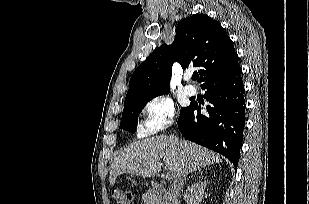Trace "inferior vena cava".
<instances>
[{"mask_svg": "<svg viewBox=\"0 0 309 204\" xmlns=\"http://www.w3.org/2000/svg\"><path fill=\"white\" fill-rule=\"evenodd\" d=\"M170 138H174L175 141H177L176 137L170 136ZM188 173V169L184 166H182L175 179L174 182L169 190V194L167 196L166 204H176L177 199L180 195L181 189L184 185V181L186 179V175Z\"/></svg>", "mask_w": 309, "mask_h": 204, "instance_id": "602c4592", "label": "inferior vena cava"}]
</instances>
